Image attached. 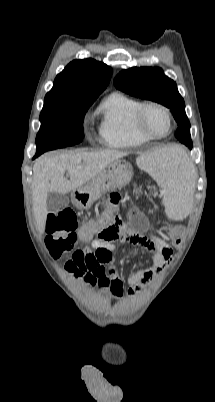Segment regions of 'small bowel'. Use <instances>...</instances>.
Here are the masks:
<instances>
[{
  "label": "small bowel",
  "mask_w": 215,
  "mask_h": 402,
  "mask_svg": "<svg viewBox=\"0 0 215 402\" xmlns=\"http://www.w3.org/2000/svg\"><path fill=\"white\" fill-rule=\"evenodd\" d=\"M116 241L128 243L142 248L153 260V267L142 270L134 269L130 272L128 295L137 294L149 284L155 275L160 273L162 265L170 259L172 251L165 241L156 236H146L132 232L122 223L116 222L106 227L93 239L90 247L80 250L81 260L67 261L65 269L75 279L81 280L87 286L106 288L115 298L123 296L124 284L119 276V269L114 264L113 253ZM105 265H109L106 270Z\"/></svg>",
  "instance_id": "obj_1"
}]
</instances>
